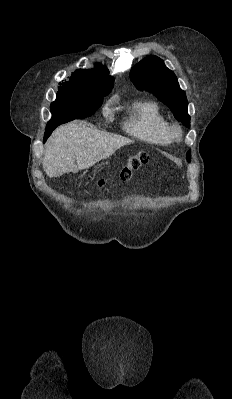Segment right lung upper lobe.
<instances>
[{"label":"right lung upper lobe","instance_id":"right-lung-upper-lobe-1","mask_svg":"<svg viewBox=\"0 0 232 399\" xmlns=\"http://www.w3.org/2000/svg\"><path fill=\"white\" fill-rule=\"evenodd\" d=\"M113 82L107 67L96 63L94 69H80L72 73L69 81L61 83L58 93L108 95Z\"/></svg>","mask_w":232,"mask_h":399}]
</instances>
